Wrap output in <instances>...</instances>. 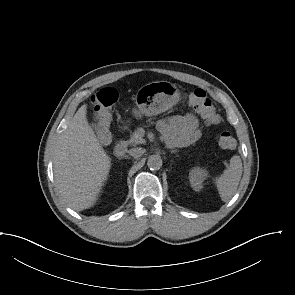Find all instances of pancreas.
<instances>
[{
  "instance_id": "obj_1",
  "label": "pancreas",
  "mask_w": 295,
  "mask_h": 295,
  "mask_svg": "<svg viewBox=\"0 0 295 295\" xmlns=\"http://www.w3.org/2000/svg\"><path fill=\"white\" fill-rule=\"evenodd\" d=\"M129 144L136 146L138 144H143L145 143V140L143 139L142 135L140 134L139 130H136L133 132L131 135V138L128 141Z\"/></svg>"
}]
</instances>
